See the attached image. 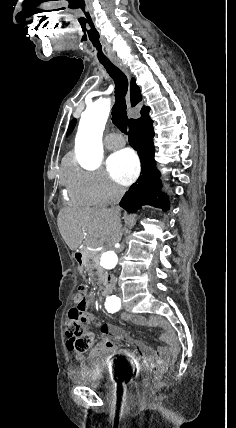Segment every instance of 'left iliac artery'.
I'll return each instance as SVG.
<instances>
[{
    "label": "left iliac artery",
    "instance_id": "44dca946",
    "mask_svg": "<svg viewBox=\"0 0 236 428\" xmlns=\"http://www.w3.org/2000/svg\"><path fill=\"white\" fill-rule=\"evenodd\" d=\"M121 307V301L119 297H116L115 295H112L110 297L106 298V302H105V308L107 309V311L110 313H114L119 311Z\"/></svg>",
    "mask_w": 236,
    "mask_h": 428
}]
</instances>
